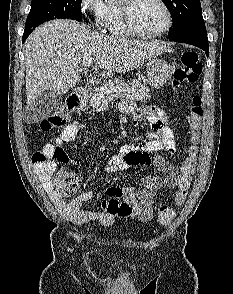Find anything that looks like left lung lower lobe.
<instances>
[{"label": "left lung lower lobe", "mask_w": 233, "mask_h": 294, "mask_svg": "<svg viewBox=\"0 0 233 294\" xmlns=\"http://www.w3.org/2000/svg\"><path fill=\"white\" fill-rule=\"evenodd\" d=\"M168 39L170 41L187 43V44L197 46L203 51H205V54L207 56L209 55V44H208L207 35L191 34V35H185V36H180L177 38H168Z\"/></svg>", "instance_id": "obj_1"}]
</instances>
